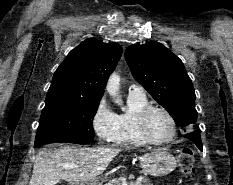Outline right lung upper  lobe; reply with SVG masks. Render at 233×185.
Here are the masks:
<instances>
[{"instance_id":"obj_1","label":"right lung upper lobe","mask_w":233,"mask_h":185,"mask_svg":"<svg viewBox=\"0 0 233 185\" xmlns=\"http://www.w3.org/2000/svg\"><path fill=\"white\" fill-rule=\"evenodd\" d=\"M121 54L122 47L117 43L86 39L57 68L47 94L101 99L104 85Z\"/></svg>"}]
</instances>
